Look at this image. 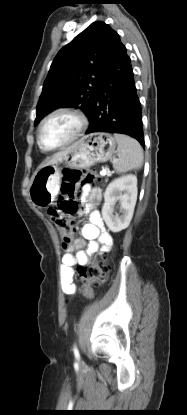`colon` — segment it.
Wrapping results in <instances>:
<instances>
[{
	"mask_svg": "<svg viewBox=\"0 0 187 415\" xmlns=\"http://www.w3.org/2000/svg\"><path fill=\"white\" fill-rule=\"evenodd\" d=\"M96 180L97 176L91 170L83 172L76 170L68 171L61 184L58 207L48 210V215L57 229L64 246H67L74 236L73 216L78 209L76 197L79 187L92 184ZM109 270V265L104 260L98 259L92 264L79 267L77 276L84 285L99 287L106 281ZM85 295L90 297L91 291L87 289Z\"/></svg>",
	"mask_w": 187,
	"mask_h": 415,
	"instance_id": "1",
	"label": "colon"
}]
</instances>
